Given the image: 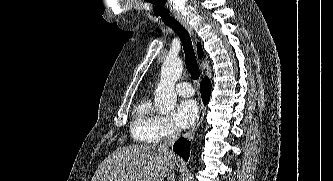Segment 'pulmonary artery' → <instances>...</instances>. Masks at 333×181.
Returning a JSON list of instances; mask_svg holds the SVG:
<instances>
[{"mask_svg":"<svg viewBox=\"0 0 333 181\" xmlns=\"http://www.w3.org/2000/svg\"><path fill=\"white\" fill-rule=\"evenodd\" d=\"M176 92L178 95H180L182 97H191L194 95V90H193L191 84L188 82H180L176 86Z\"/></svg>","mask_w":333,"mask_h":181,"instance_id":"pulmonary-artery-1","label":"pulmonary artery"}]
</instances>
